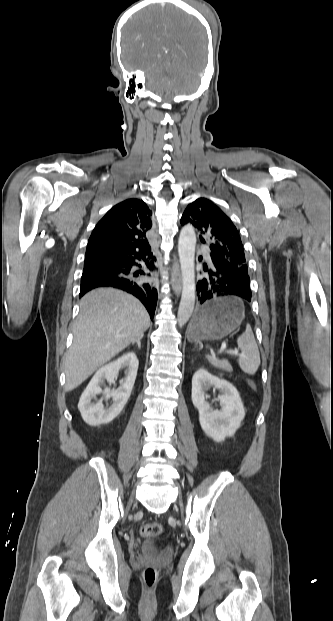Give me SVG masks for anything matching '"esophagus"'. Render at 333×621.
I'll use <instances>...</instances> for the list:
<instances>
[{"label":"esophagus","instance_id":"34e87169","mask_svg":"<svg viewBox=\"0 0 333 621\" xmlns=\"http://www.w3.org/2000/svg\"><path fill=\"white\" fill-rule=\"evenodd\" d=\"M171 284L174 292L179 294L181 291V276L178 262L175 260L171 269Z\"/></svg>","mask_w":333,"mask_h":621}]
</instances>
